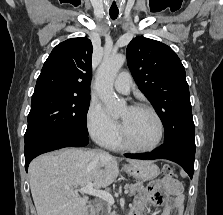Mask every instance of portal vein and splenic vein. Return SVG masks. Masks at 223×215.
<instances>
[{
  "mask_svg": "<svg viewBox=\"0 0 223 215\" xmlns=\"http://www.w3.org/2000/svg\"><path fill=\"white\" fill-rule=\"evenodd\" d=\"M124 192V195H127L128 188L126 187ZM77 191H80V193H91V195H97V197H102V199H105V201H108L110 205H113L115 203L113 195L109 193V191H102V189H94L92 181H88L86 187H80V189H77Z\"/></svg>",
  "mask_w": 223,
  "mask_h": 215,
  "instance_id": "portal-vein-and-splenic-vein-1",
  "label": "portal vein and splenic vein"
}]
</instances>
